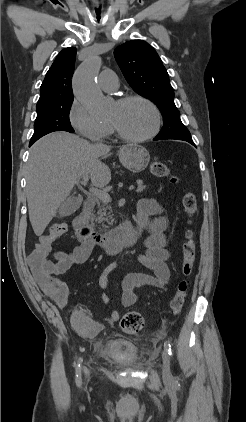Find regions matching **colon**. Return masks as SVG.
<instances>
[{"label": "colon", "instance_id": "obj_1", "mask_svg": "<svg viewBox=\"0 0 246 422\" xmlns=\"http://www.w3.org/2000/svg\"><path fill=\"white\" fill-rule=\"evenodd\" d=\"M150 171L154 176L165 177L169 174L168 167L160 162L154 161L150 165ZM172 182H177L173 177ZM182 205L185 213L192 217L198 209L197 198L194 193L185 191L182 196ZM68 230L64 223H55L50 226L49 232L40 237L39 242L28 258V264L36 279H44L50 269L48 255L53 242L63 236ZM196 257V241L191 230L186 232V240L182 246L181 273L182 278L176 285L175 293L170 301V311L173 315H178L184 306L186 292L188 288L187 277L191 274ZM121 329L129 335H142L145 328L144 318L138 312H128L120 320Z\"/></svg>", "mask_w": 246, "mask_h": 422}]
</instances>
